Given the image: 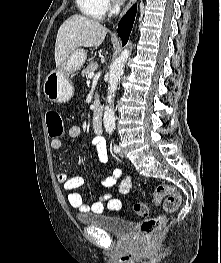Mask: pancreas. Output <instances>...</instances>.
Returning <instances> with one entry per match:
<instances>
[{"label":"pancreas","mask_w":221,"mask_h":263,"mask_svg":"<svg viewBox=\"0 0 221 263\" xmlns=\"http://www.w3.org/2000/svg\"><path fill=\"white\" fill-rule=\"evenodd\" d=\"M98 68V63L96 61H91L89 65L82 71V76L87 77L90 73L94 72ZM99 101L96 100V103Z\"/></svg>","instance_id":"pancreas-1"}]
</instances>
